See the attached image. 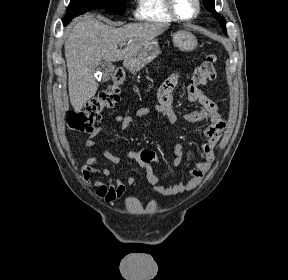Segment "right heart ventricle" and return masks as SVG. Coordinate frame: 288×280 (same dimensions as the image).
Returning <instances> with one entry per match:
<instances>
[{"label": "right heart ventricle", "instance_id": "e07e8e85", "mask_svg": "<svg viewBox=\"0 0 288 280\" xmlns=\"http://www.w3.org/2000/svg\"><path fill=\"white\" fill-rule=\"evenodd\" d=\"M135 16L141 21L173 22L165 0H137Z\"/></svg>", "mask_w": 288, "mask_h": 280}]
</instances>
